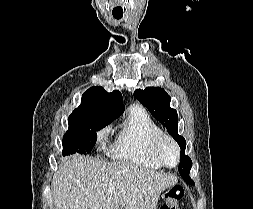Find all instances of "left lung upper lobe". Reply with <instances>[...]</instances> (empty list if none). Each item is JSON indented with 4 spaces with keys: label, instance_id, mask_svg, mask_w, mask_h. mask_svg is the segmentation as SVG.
I'll use <instances>...</instances> for the list:
<instances>
[{
    "label": "left lung upper lobe",
    "instance_id": "obj_1",
    "mask_svg": "<svg viewBox=\"0 0 253 209\" xmlns=\"http://www.w3.org/2000/svg\"><path fill=\"white\" fill-rule=\"evenodd\" d=\"M134 96L141 102L152 116L166 127L181 148V157L178 171L185 182L192 179L189 177L192 161L185 155L186 141L178 134V114L170 107V96L163 88L146 87L144 90H135Z\"/></svg>",
    "mask_w": 253,
    "mask_h": 209
}]
</instances>
